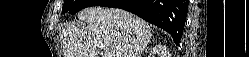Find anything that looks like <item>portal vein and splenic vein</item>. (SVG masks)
<instances>
[{
    "label": "portal vein and splenic vein",
    "mask_w": 249,
    "mask_h": 57,
    "mask_svg": "<svg viewBox=\"0 0 249 57\" xmlns=\"http://www.w3.org/2000/svg\"><path fill=\"white\" fill-rule=\"evenodd\" d=\"M107 56H108V57H111L112 55H110V54H108V55H104V57H107Z\"/></svg>",
    "instance_id": "18ae733b"
}]
</instances>
